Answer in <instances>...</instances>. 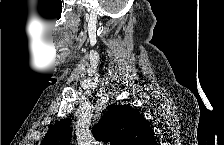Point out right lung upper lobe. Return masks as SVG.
<instances>
[{
  "label": "right lung upper lobe",
  "instance_id": "obj_1",
  "mask_svg": "<svg viewBox=\"0 0 224 145\" xmlns=\"http://www.w3.org/2000/svg\"><path fill=\"white\" fill-rule=\"evenodd\" d=\"M69 119L54 124L41 145H68L71 141ZM96 140L110 145H149L154 132L143 116L129 105H108L103 117L92 129Z\"/></svg>",
  "mask_w": 224,
  "mask_h": 145
}]
</instances>
